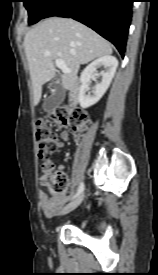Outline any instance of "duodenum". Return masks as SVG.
<instances>
[{
  "label": "duodenum",
  "mask_w": 158,
  "mask_h": 275,
  "mask_svg": "<svg viewBox=\"0 0 158 275\" xmlns=\"http://www.w3.org/2000/svg\"><path fill=\"white\" fill-rule=\"evenodd\" d=\"M79 93L76 85L72 86L68 95V102L71 106H75L78 103Z\"/></svg>",
  "instance_id": "1"
}]
</instances>
